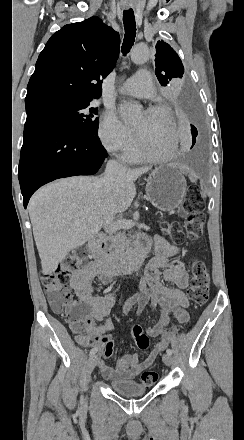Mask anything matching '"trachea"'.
Instances as JSON below:
<instances>
[{"label":"trachea","instance_id":"trachea-1","mask_svg":"<svg viewBox=\"0 0 244 440\" xmlns=\"http://www.w3.org/2000/svg\"><path fill=\"white\" fill-rule=\"evenodd\" d=\"M123 23L125 29L124 41L122 44V53L127 55L129 53L136 37V23L133 10H124L123 12Z\"/></svg>","mask_w":244,"mask_h":440}]
</instances>
